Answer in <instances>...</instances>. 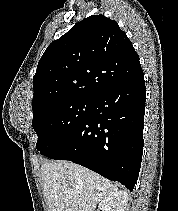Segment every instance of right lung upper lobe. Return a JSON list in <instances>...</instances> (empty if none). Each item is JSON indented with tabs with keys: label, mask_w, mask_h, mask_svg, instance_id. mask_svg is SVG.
Wrapping results in <instances>:
<instances>
[{
	"label": "right lung upper lobe",
	"mask_w": 178,
	"mask_h": 211,
	"mask_svg": "<svg viewBox=\"0 0 178 211\" xmlns=\"http://www.w3.org/2000/svg\"><path fill=\"white\" fill-rule=\"evenodd\" d=\"M141 69L139 56L114 20L94 15L53 41L33 77V114L63 100L95 99Z\"/></svg>",
	"instance_id": "1"
}]
</instances>
